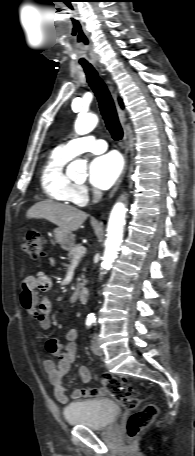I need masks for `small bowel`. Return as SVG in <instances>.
Wrapping results in <instances>:
<instances>
[{
	"mask_svg": "<svg viewBox=\"0 0 195 456\" xmlns=\"http://www.w3.org/2000/svg\"><path fill=\"white\" fill-rule=\"evenodd\" d=\"M51 286V278L43 271H39L36 275L25 277L21 283V305L42 330H48L51 326L50 313L52 306L47 298L39 299L37 291L46 292ZM76 339L77 331L75 329H68L62 339L51 338L46 342L47 353L55 357L57 362H54L52 359H45L43 367L49 376L57 400L63 404L68 401L67 387L64 379L76 358ZM78 378L84 384L90 383L91 372L89 368L81 366L78 370ZM104 394L105 390L102 388H76L72 391L71 397L77 400L103 396Z\"/></svg>",
	"mask_w": 195,
	"mask_h": 456,
	"instance_id": "c3829d8e",
	"label": "small bowel"
}]
</instances>
